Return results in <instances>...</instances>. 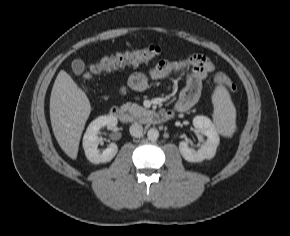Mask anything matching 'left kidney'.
Returning <instances> with one entry per match:
<instances>
[{"mask_svg": "<svg viewBox=\"0 0 290 236\" xmlns=\"http://www.w3.org/2000/svg\"><path fill=\"white\" fill-rule=\"evenodd\" d=\"M193 125L207 137V140L198 150L190 148L185 141H181L179 143L181 155L188 162H201L205 159H212L220 140L214 124L208 117L196 116L193 119Z\"/></svg>", "mask_w": 290, "mask_h": 236, "instance_id": "obj_1", "label": "left kidney"}]
</instances>
